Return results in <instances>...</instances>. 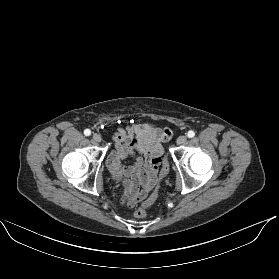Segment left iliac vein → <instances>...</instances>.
Instances as JSON below:
<instances>
[{
	"label": "left iliac vein",
	"instance_id": "4c4485c4",
	"mask_svg": "<svg viewBox=\"0 0 279 279\" xmlns=\"http://www.w3.org/2000/svg\"><path fill=\"white\" fill-rule=\"evenodd\" d=\"M186 141H187V137H186L185 135H181V136H179V137L177 138L176 143H177L178 145H183V144L186 143Z\"/></svg>",
	"mask_w": 279,
	"mask_h": 279
}]
</instances>
